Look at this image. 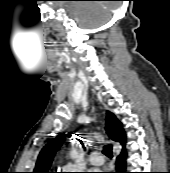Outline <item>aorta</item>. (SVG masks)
<instances>
[{
    "label": "aorta",
    "instance_id": "1",
    "mask_svg": "<svg viewBox=\"0 0 170 173\" xmlns=\"http://www.w3.org/2000/svg\"><path fill=\"white\" fill-rule=\"evenodd\" d=\"M71 157H72L73 159H76V158L78 157V154H77L76 152H72V153H71Z\"/></svg>",
    "mask_w": 170,
    "mask_h": 173
}]
</instances>
